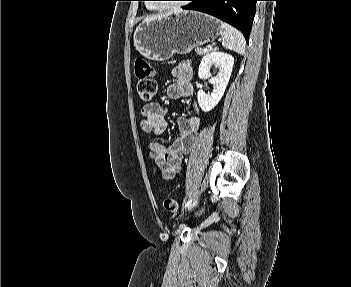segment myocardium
I'll list each match as a JSON object with an SVG mask.
<instances>
[{
    "label": "myocardium",
    "mask_w": 351,
    "mask_h": 287,
    "mask_svg": "<svg viewBox=\"0 0 351 287\" xmlns=\"http://www.w3.org/2000/svg\"><path fill=\"white\" fill-rule=\"evenodd\" d=\"M160 8H165V7H162L161 5H159Z\"/></svg>",
    "instance_id": "obj_1"
}]
</instances>
